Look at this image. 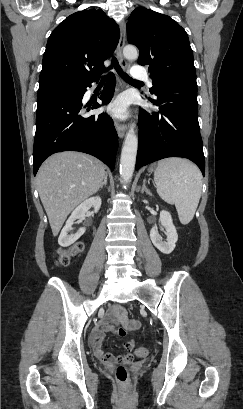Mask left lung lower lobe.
Returning a JSON list of instances; mask_svg holds the SVG:
<instances>
[{"label":"left lung lower lobe","mask_w":243,"mask_h":409,"mask_svg":"<svg viewBox=\"0 0 243 409\" xmlns=\"http://www.w3.org/2000/svg\"><path fill=\"white\" fill-rule=\"evenodd\" d=\"M154 94L151 102L159 110H140L136 170L166 157H184L193 161L204 176L196 79L168 80Z\"/></svg>","instance_id":"1"}]
</instances>
